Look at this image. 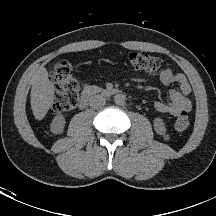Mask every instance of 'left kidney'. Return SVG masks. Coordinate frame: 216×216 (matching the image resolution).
<instances>
[{
  "label": "left kidney",
  "mask_w": 216,
  "mask_h": 216,
  "mask_svg": "<svg viewBox=\"0 0 216 216\" xmlns=\"http://www.w3.org/2000/svg\"><path fill=\"white\" fill-rule=\"evenodd\" d=\"M154 129L158 134L165 136L166 127L163 119L158 117L154 119Z\"/></svg>",
  "instance_id": "obj_1"
}]
</instances>
